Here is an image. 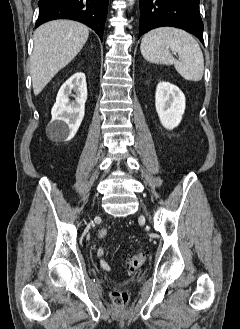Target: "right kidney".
I'll return each instance as SVG.
<instances>
[{
    "label": "right kidney",
    "mask_w": 240,
    "mask_h": 329,
    "mask_svg": "<svg viewBox=\"0 0 240 329\" xmlns=\"http://www.w3.org/2000/svg\"><path fill=\"white\" fill-rule=\"evenodd\" d=\"M75 93V100L69 96ZM87 100V84L82 72L72 75L60 88L51 114L52 120L47 132L55 139L70 141L79 129L85 114Z\"/></svg>",
    "instance_id": "obj_1"
}]
</instances>
